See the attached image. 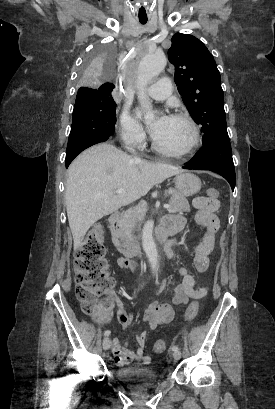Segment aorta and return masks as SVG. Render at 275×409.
Here are the masks:
<instances>
[{"instance_id":"762f6f07","label":"aorta","mask_w":275,"mask_h":409,"mask_svg":"<svg viewBox=\"0 0 275 409\" xmlns=\"http://www.w3.org/2000/svg\"><path fill=\"white\" fill-rule=\"evenodd\" d=\"M167 64V58L164 51H143V58L138 68V86L137 98L145 110V120H154L155 114L152 110V100L147 96L145 86L148 80H151L156 74H160ZM154 221H147L142 231V245L148 257L153 273L159 269L158 265V251L156 249L155 241L153 239Z\"/></svg>"}]
</instances>
